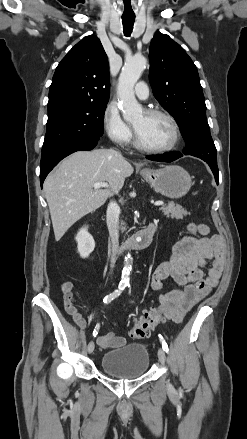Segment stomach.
<instances>
[{"label": "stomach", "instance_id": "0dacf381", "mask_svg": "<svg viewBox=\"0 0 247 439\" xmlns=\"http://www.w3.org/2000/svg\"><path fill=\"white\" fill-rule=\"evenodd\" d=\"M140 174L157 192L172 199L185 196L192 186L189 173L177 165L143 169Z\"/></svg>", "mask_w": 247, "mask_h": 439}]
</instances>
